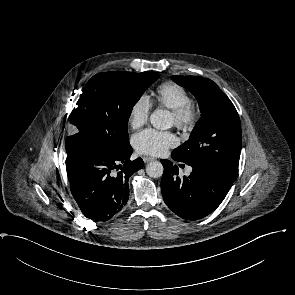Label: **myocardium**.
Masks as SVG:
<instances>
[{
	"label": "myocardium",
	"mask_w": 295,
	"mask_h": 295,
	"mask_svg": "<svg viewBox=\"0 0 295 295\" xmlns=\"http://www.w3.org/2000/svg\"><path fill=\"white\" fill-rule=\"evenodd\" d=\"M199 115V107L193 102L182 109L172 111L174 125L180 129L193 128L198 121Z\"/></svg>",
	"instance_id": "1"
}]
</instances>
